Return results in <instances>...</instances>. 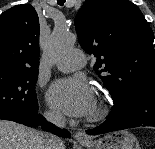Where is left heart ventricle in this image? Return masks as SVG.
Here are the masks:
<instances>
[{
    "label": "left heart ventricle",
    "mask_w": 155,
    "mask_h": 149,
    "mask_svg": "<svg viewBox=\"0 0 155 149\" xmlns=\"http://www.w3.org/2000/svg\"><path fill=\"white\" fill-rule=\"evenodd\" d=\"M94 108H95V101H94V104H93V107H92L90 113L94 110Z\"/></svg>",
    "instance_id": "obj_1"
}]
</instances>
